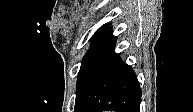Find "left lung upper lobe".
Wrapping results in <instances>:
<instances>
[{"mask_svg": "<svg viewBox=\"0 0 193 112\" xmlns=\"http://www.w3.org/2000/svg\"><path fill=\"white\" fill-rule=\"evenodd\" d=\"M106 26H108V25H104V26H102L101 28H99L98 30H97V32L93 35V37L96 35V34H98L101 30H103ZM92 37V38H93Z\"/></svg>", "mask_w": 193, "mask_h": 112, "instance_id": "1", "label": "left lung upper lobe"}]
</instances>
